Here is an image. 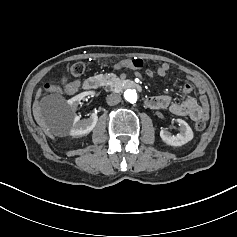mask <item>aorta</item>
<instances>
[{
	"label": "aorta",
	"instance_id": "aorta-1",
	"mask_svg": "<svg viewBox=\"0 0 237 237\" xmlns=\"http://www.w3.org/2000/svg\"><path fill=\"white\" fill-rule=\"evenodd\" d=\"M124 97L129 103L133 104V103H136V101L138 99V94L136 93L135 90L128 89V90L125 91Z\"/></svg>",
	"mask_w": 237,
	"mask_h": 237
}]
</instances>
